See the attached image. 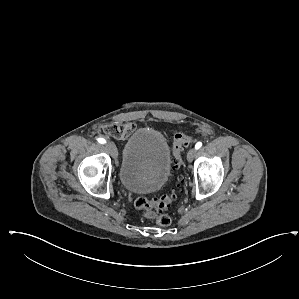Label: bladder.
I'll use <instances>...</instances> for the list:
<instances>
[{
  "instance_id": "1",
  "label": "bladder",
  "mask_w": 299,
  "mask_h": 299,
  "mask_svg": "<svg viewBox=\"0 0 299 299\" xmlns=\"http://www.w3.org/2000/svg\"><path fill=\"white\" fill-rule=\"evenodd\" d=\"M170 173V149L160 131L143 128L129 136L119 168L123 188L136 193L153 192L167 181Z\"/></svg>"
}]
</instances>
